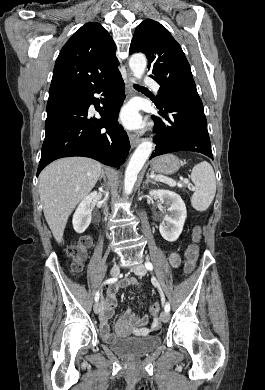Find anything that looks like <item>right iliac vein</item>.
I'll return each mask as SVG.
<instances>
[{
	"mask_svg": "<svg viewBox=\"0 0 265 390\" xmlns=\"http://www.w3.org/2000/svg\"><path fill=\"white\" fill-rule=\"evenodd\" d=\"M119 273H120V267H119V265H114L113 267H112V269H111V271H110V275L112 276V277H116V276H118L119 275ZM100 310H101V305H100V302L99 301H97L95 304H94V312H95V314H99L100 313Z\"/></svg>",
	"mask_w": 265,
	"mask_h": 390,
	"instance_id": "1",
	"label": "right iliac vein"
}]
</instances>
